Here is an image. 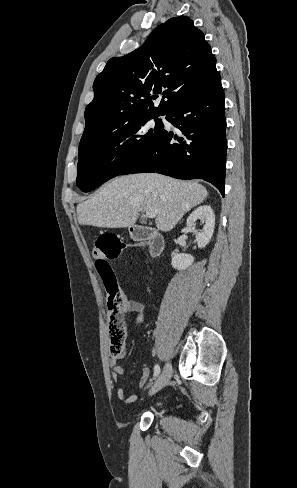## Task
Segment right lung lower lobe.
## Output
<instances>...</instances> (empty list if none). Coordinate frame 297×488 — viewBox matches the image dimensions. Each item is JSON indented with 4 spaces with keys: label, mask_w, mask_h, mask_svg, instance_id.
I'll return each instance as SVG.
<instances>
[{
    "label": "right lung lower lobe",
    "mask_w": 297,
    "mask_h": 488,
    "mask_svg": "<svg viewBox=\"0 0 297 488\" xmlns=\"http://www.w3.org/2000/svg\"><path fill=\"white\" fill-rule=\"evenodd\" d=\"M224 90L220 78L182 101L162 130L121 175L156 172L178 179H203L224 196L227 140Z\"/></svg>",
    "instance_id": "right-lung-lower-lobe-1"
}]
</instances>
